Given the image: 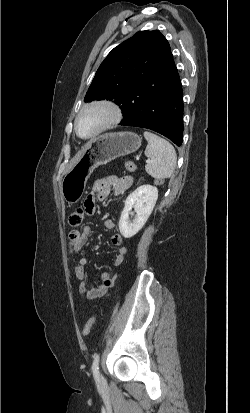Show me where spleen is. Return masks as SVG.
<instances>
[{"label":"spleen","mask_w":250,"mask_h":413,"mask_svg":"<svg viewBox=\"0 0 250 413\" xmlns=\"http://www.w3.org/2000/svg\"><path fill=\"white\" fill-rule=\"evenodd\" d=\"M144 137L148 141L145 155L150 162L146 164V172L155 179L171 177L176 166L177 155L174 147L165 139L145 131Z\"/></svg>","instance_id":"3e777b00"}]
</instances>
